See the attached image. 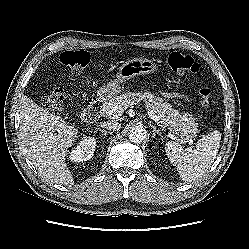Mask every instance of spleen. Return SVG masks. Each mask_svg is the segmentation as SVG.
Wrapping results in <instances>:
<instances>
[{"label":"spleen","mask_w":249,"mask_h":249,"mask_svg":"<svg viewBox=\"0 0 249 249\" xmlns=\"http://www.w3.org/2000/svg\"><path fill=\"white\" fill-rule=\"evenodd\" d=\"M221 133L214 130L198 140L196 147L183 149L177 142L169 141L165 151L170 162L177 166L180 178L192 182L202 177L216 159Z\"/></svg>","instance_id":"obj_1"}]
</instances>
